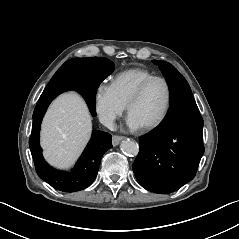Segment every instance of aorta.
I'll return each mask as SVG.
<instances>
[{"instance_id":"762f6f07","label":"aorta","mask_w":239,"mask_h":239,"mask_svg":"<svg viewBox=\"0 0 239 239\" xmlns=\"http://www.w3.org/2000/svg\"><path fill=\"white\" fill-rule=\"evenodd\" d=\"M120 148L123 153L127 155H137L139 152V147L137 142H134L132 140H123Z\"/></svg>"}]
</instances>
